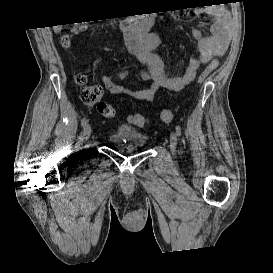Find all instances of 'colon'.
I'll return each mask as SVG.
<instances>
[{"label":"colon","instance_id":"1","mask_svg":"<svg viewBox=\"0 0 273 273\" xmlns=\"http://www.w3.org/2000/svg\"><path fill=\"white\" fill-rule=\"evenodd\" d=\"M82 23L73 25L76 29L79 28ZM62 45L68 47L70 44V35L66 34L61 38ZM217 62L212 61L204 72L199 77V82L204 81L216 68ZM77 83L82 86L81 99L87 105H96L99 113L105 118H114L116 115V110L113 105L105 102H100L102 95V89L97 85L88 84L87 78L84 75H78L76 78ZM173 114L171 110L164 109L161 111L160 119L164 123L171 122ZM129 120L137 125L144 126L147 124V119L145 116L140 114L132 115Z\"/></svg>","mask_w":273,"mask_h":273}]
</instances>
